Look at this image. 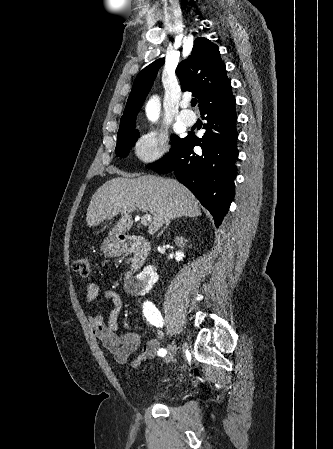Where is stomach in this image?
I'll use <instances>...</instances> for the list:
<instances>
[{
    "mask_svg": "<svg viewBox=\"0 0 333 449\" xmlns=\"http://www.w3.org/2000/svg\"><path fill=\"white\" fill-rule=\"evenodd\" d=\"M102 250L108 257L120 256L123 252L122 244L114 237H109L104 240Z\"/></svg>",
    "mask_w": 333,
    "mask_h": 449,
    "instance_id": "1",
    "label": "stomach"
}]
</instances>
